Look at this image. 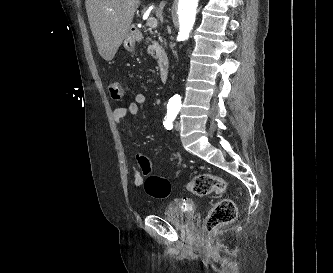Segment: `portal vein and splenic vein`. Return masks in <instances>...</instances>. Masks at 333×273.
I'll list each match as a JSON object with an SVG mask.
<instances>
[{
  "instance_id": "obj_1",
  "label": "portal vein and splenic vein",
  "mask_w": 333,
  "mask_h": 273,
  "mask_svg": "<svg viewBox=\"0 0 333 273\" xmlns=\"http://www.w3.org/2000/svg\"><path fill=\"white\" fill-rule=\"evenodd\" d=\"M147 26L152 28L157 27V20L154 17H149L147 20Z\"/></svg>"
}]
</instances>
